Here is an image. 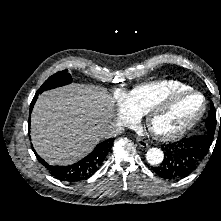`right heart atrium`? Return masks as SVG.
I'll return each instance as SVG.
<instances>
[{"mask_svg":"<svg viewBox=\"0 0 221 221\" xmlns=\"http://www.w3.org/2000/svg\"><path fill=\"white\" fill-rule=\"evenodd\" d=\"M117 110L114 116V122L119 127H131L135 125L139 119V116L135 114L128 106L126 101V95L118 93L115 96Z\"/></svg>","mask_w":221,"mask_h":221,"instance_id":"right-heart-atrium-1","label":"right heart atrium"}]
</instances>
